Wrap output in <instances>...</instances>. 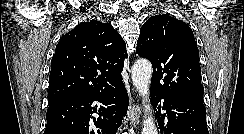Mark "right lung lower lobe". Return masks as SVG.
<instances>
[{"label":"right lung lower lobe","mask_w":244,"mask_h":134,"mask_svg":"<svg viewBox=\"0 0 244 134\" xmlns=\"http://www.w3.org/2000/svg\"><path fill=\"white\" fill-rule=\"evenodd\" d=\"M102 103L100 109L93 102ZM128 109V94L120 77L108 88L90 95H78L50 104L44 134H116ZM95 129L90 127V115Z\"/></svg>","instance_id":"right-lung-lower-lobe-1"}]
</instances>
